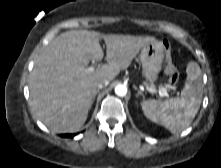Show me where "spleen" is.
I'll return each mask as SVG.
<instances>
[{
    "mask_svg": "<svg viewBox=\"0 0 221 168\" xmlns=\"http://www.w3.org/2000/svg\"><path fill=\"white\" fill-rule=\"evenodd\" d=\"M187 79L181 96L166 101L149 99L142 102L144 115L154 123L177 134L186 129L196 116L203 96L202 74L199 65L188 63Z\"/></svg>",
    "mask_w": 221,
    "mask_h": 168,
    "instance_id": "obj_1",
    "label": "spleen"
}]
</instances>
